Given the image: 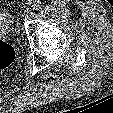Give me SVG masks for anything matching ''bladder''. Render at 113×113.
Listing matches in <instances>:
<instances>
[{"instance_id":"obj_1","label":"bladder","mask_w":113,"mask_h":113,"mask_svg":"<svg viewBox=\"0 0 113 113\" xmlns=\"http://www.w3.org/2000/svg\"><path fill=\"white\" fill-rule=\"evenodd\" d=\"M9 28V22L6 16L0 12V33L5 32Z\"/></svg>"}]
</instances>
